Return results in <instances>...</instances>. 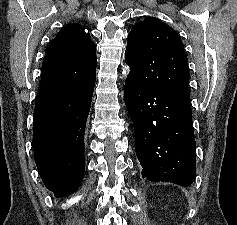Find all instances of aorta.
Listing matches in <instances>:
<instances>
[{
	"label": "aorta",
	"instance_id": "aorta-1",
	"mask_svg": "<svg viewBox=\"0 0 237 225\" xmlns=\"http://www.w3.org/2000/svg\"><path fill=\"white\" fill-rule=\"evenodd\" d=\"M128 73H129V68H128V67H125V68L123 69V75H124V76H127Z\"/></svg>",
	"mask_w": 237,
	"mask_h": 225
}]
</instances>
